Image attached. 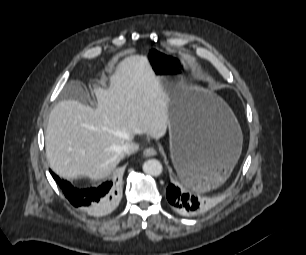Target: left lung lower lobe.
Returning a JSON list of instances; mask_svg holds the SVG:
<instances>
[{
	"instance_id": "0a47b994",
	"label": "left lung lower lobe",
	"mask_w": 306,
	"mask_h": 255,
	"mask_svg": "<svg viewBox=\"0 0 306 255\" xmlns=\"http://www.w3.org/2000/svg\"><path fill=\"white\" fill-rule=\"evenodd\" d=\"M203 169L196 163L185 161L182 164V177L187 181L202 179ZM166 197L170 206L178 213L186 216H194L202 213L207 207V200L202 197L185 193L178 186L169 184Z\"/></svg>"
}]
</instances>
